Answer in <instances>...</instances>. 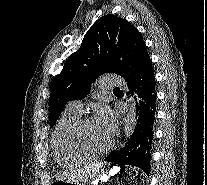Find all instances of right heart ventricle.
<instances>
[{"mask_svg": "<svg viewBox=\"0 0 207 185\" xmlns=\"http://www.w3.org/2000/svg\"><path fill=\"white\" fill-rule=\"evenodd\" d=\"M80 114L67 111L57 122L52 135V147L55 159L62 165H77L92 158V156L79 150L72 139V132Z\"/></svg>", "mask_w": 207, "mask_h": 185, "instance_id": "1", "label": "right heart ventricle"}]
</instances>
